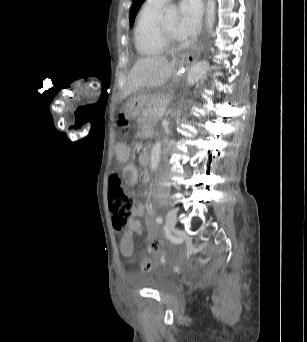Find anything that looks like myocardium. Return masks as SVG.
I'll list each match as a JSON object with an SVG mask.
<instances>
[{
  "mask_svg": "<svg viewBox=\"0 0 307 342\" xmlns=\"http://www.w3.org/2000/svg\"><path fill=\"white\" fill-rule=\"evenodd\" d=\"M155 41L161 51L165 54H177L181 48H172L169 46L163 35L161 22H159V20L155 23Z\"/></svg>",
  "mask_w": 307,
  "mask_h": 342,
  "instance_id": "obj_1",
  "label": "myocardium"
}]
</instances>
